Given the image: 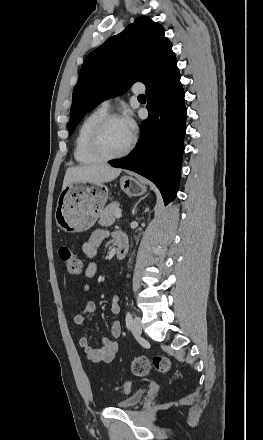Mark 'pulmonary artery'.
Returning a JSON list of instances; mask_svg holds the SVG:
<instances>
[{
  "instance_id": "e3ab8cb5",
  "label": "pulmonary artery",
  "mask_w": 263,
  "mask_h": 440,
  "mask_svg": "<svg viewBox=\"0 0 263 440\" xmlns=\"http://www.w3.org/2000/svg\"><path fill=\"white\" fill-rule=\"evenodd\" d=\"M144 90L145 89L143 87L133 86V88H132V91L135 94H141V93L144 92ZM109 106H110V102L108 100L102 102V104H101V107L106 109V110L109 108Z\"/></svg>"
}]
</instances>
